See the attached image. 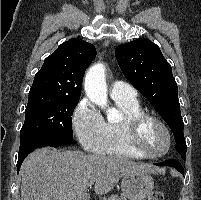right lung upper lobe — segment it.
Wrapping results in <instances>:
<instances>
[{"label": "right lung upper lobe", "mask_w": 201, "mask_h": 200, "mask_svg": "<svg viewBox=\"0 0 201 200\" xmlns=\"http://www.w3.org/2000/svg\"><path fill=\"white\" fill-rule=\"evenodd\" d=\"M96 57L95 47L78 38L61 44L35 75L29 93L80 98L86 68Z\"/></svg>", "instance_id": "obj_1"}]
</instances>
